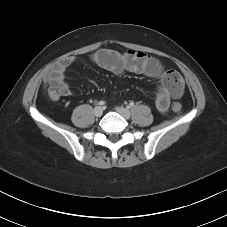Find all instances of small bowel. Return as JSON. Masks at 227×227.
Instances as JSON below:
<instances>
[{"label":"small bowel","instance_id":"1","mask_svg":"<svg viewBox=\"0 0 227 227\" xmlns=\"http://www.w3.org/2000/svg\"><path fill=\"white\" fill-rule=\"evenodd\" d=\"M92 61L102 69L115 74L129 71L161 79V85L158 87L155 97L156 108L161 113L168 110L172 98H179L182 94V79L179 81L168 80L160 61L144 52L133 50L119 52L102 48L92 55ZM73 62L74 60L69 58L53 66L45 74L44 80L50 85L49 96L51 99L57 100L60 97H69L73 94L70 85L65 80L66 69Z\"/></svg>","mask_w":227,"mask_h":227}]
</instances>
